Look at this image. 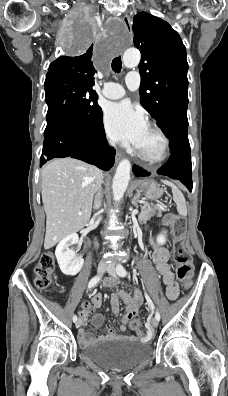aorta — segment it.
Instances as JSON below:
<instances>
[{
    "label": "aorta",
    "mask_w": 228,
    "mask_h": 396,
    "mask_svg": "<svg viewBox=\"0 0 228 396\" xmlns=\"http://www.w3.org/2000/svg\"><path fill=\"white\" fill-rule=\"evenodd\" d=\"M140 53L135 49H127L123 55V63L127 68H134L140 62ZM131 172V163L128 159L119 162L113 179V197L116 202L123 198L127 189Z\"/></svg>",
    "instance_id": "1"
}]
</instances>
